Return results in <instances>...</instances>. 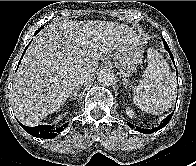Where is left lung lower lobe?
<instances>
[{"label": "left lung lower lobe", "instance_id": "left-lung-lower-lobe-1", "mask_svg": "<svg viewBox=\"0 0 196 166\" xmlns=\"http://www.w3.org/2000/svg\"><path fill=\"white\" fill-rule=\"evenodd\" d=\"M162 40H163V44L165 46V49L169 52L170 57H171V59L173 60V63H174V58H173V55H172V53H171V51L169 49L168 44L166 43V41L164 39H162ZM172 115H173V113L168 115L163 121H161V123H160V125H158V127H155V128H153L151 130L150 129H142L140 127L134 126L133 124H131L129 122L127 124H128V126L130 128H134L136 131H139V132L145 133V134H150V133L154 132L155 130H159V129H162L163 127H165L169 123V121L171 120Z\"/></svg>", "mask_w": 196, "mask_h": 166}]
</instances>
